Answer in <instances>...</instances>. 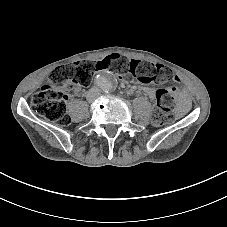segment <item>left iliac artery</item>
Here are the masks:
<instances>
[{"mask_svg": "<svg viewBox=\"0 0 227 227\" xmlns=\"http://www.w3.org/2000/svg\"><path fill=\"white\" fill-rule=\"evenodd\" d=\"M110 90H111V87H109V86H106L104 89L105 92H109Z\"/></svg>", "mask_w": 227, "mask_h": 227, "instance_id": "left-iliac-artery-1", "label": "left iliac artery"}]
</instances>
